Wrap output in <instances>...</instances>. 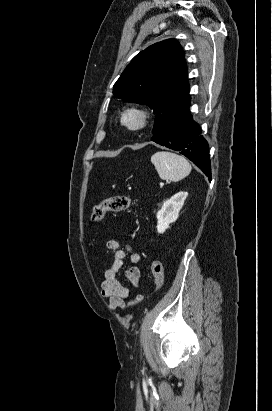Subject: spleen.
<instances>
[{"label":"spleen","mask_w":272,"mask_h":411,"mask_svg":"<svg viewBox=\"0 0 272 411\" xmlns=\"http://www.w3.org/2000/svg\"><path fill=\"white\" fill-rule=\"evenodd\" d=\"M151 162L155 166L159 177L171 182L182 180L190 174L192 169L186 158L172 152H156L152 155Z\"/></svg>","instance_id":"3e777b00"}]
</instances>
